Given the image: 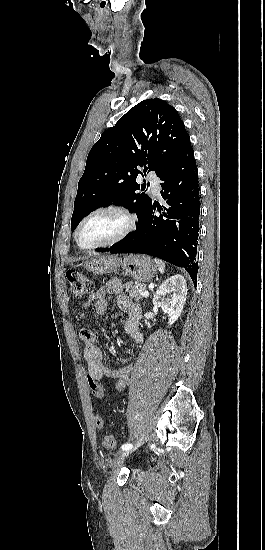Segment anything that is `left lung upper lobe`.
I'll use <instances>...</instances> for the list:
<instances>
[{"label":"left lung upper lobe","mask_w":265,"mask_h":550,"mask_svg":"<svg viewBox=\"0 0 265 550\" xmlns=\"http://www.w3.org/2000/svg\"><path fill=\"white\" fill-rule=\"evenodd\" d=\"M189 143L178 112L163 100L147 99L131 108L103 132L88 154L78 183L72 231L90 212L112 203L136 212L139 223L152 200L137 192L146 188L136 183L138 166L160 177Z\"/></svg>","instance_id":"left-lung-upper-lobe-1"}]
</instances>
